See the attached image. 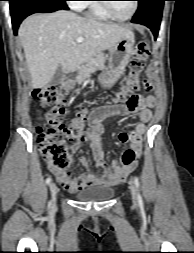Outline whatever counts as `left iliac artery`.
Listing matches in <instances>:
<instances>
[{"label": "left iliac artery", "mask_w": 194, "mask_h": 253, "mask_svg": "<svg viewBox=\"0 0 194 253\" xmlns=\"http://www.w3.org/2000/svg\"><path fill=\"white\" fill-rule=\"evenodd\" d=\"M134 183H135L137 189L139 190L140 183H139L138 178H136V177L134 178ZM137 200H138L139 205L142 206L143 205V200H142V197H141L139 192L137 194Z\"/></svg>", "instance_id": "obj_1"}]
</instances>
